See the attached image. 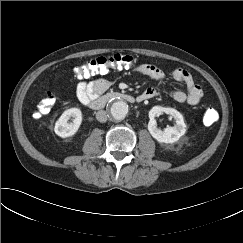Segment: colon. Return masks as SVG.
<instances>
[{
	"mask_svg": "<svg viewBox=\"0 0 243 243\" xmlns=\"http://www.w3.org/2000/svg\"><path fill=\"white\" fill-rule=\"evenodd\" d=\"M138 59L130 54L117 53L108 57H97L82 63L74 69V73L78 78H88L95 74H103L110 68L131 66L137 63ZM57 101L55 93L48 92L46 97L42 99L37 105L33 117L40 118L42 115L48 113ZM218 119L217 111L209 107L204 111L203 121L206 125L214 124Z\"/></svg>",
	"mask_w": 243,
	"mask_h": 243,
	"instance_id": "obj_1",
	"label": "colon"
}]
</instances>
